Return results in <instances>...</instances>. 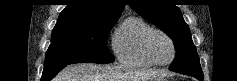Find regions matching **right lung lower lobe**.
<instances>
[{
    "instance_id": "1",
    "label": "right lung lower lobe",
    "mask_w": 237,
    "mask_h": 81,
    "mask_svg": "<svg viewBox=\"0 0 237 81\" xmlns=\"http://www.w3.org/2000/svg\"><path fill=\"white\" fill-rule=\"evenodd\" d=\"M67 65L69 64H60L50 67H44L41 81H50L53 77H55L59 73V71H61Z\"/></svg>"
}]
</instances>
